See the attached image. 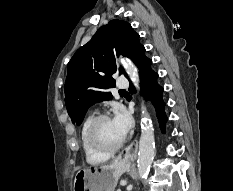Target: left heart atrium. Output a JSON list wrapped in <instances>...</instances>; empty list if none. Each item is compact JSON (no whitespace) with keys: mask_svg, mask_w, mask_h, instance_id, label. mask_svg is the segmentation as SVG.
<instances>
[{"mask_svg":"<svg viewBox=\"0 0 233 191\" xmlns=\"http://www.w3.org/2000/svg\"><path fill=\"white\" fill-rule=\"evenodd\" d=\"M112 121L114 122L118 131L124 138L127 135L128 131L130 130L132 124L129 115L124 110L119 109L115 113V116L113 117Z\"/></svg>","mask_w":233,"mask_h":191,"instance_id":"39dd6f15","label":"left heart atrium"}]
</instances>
